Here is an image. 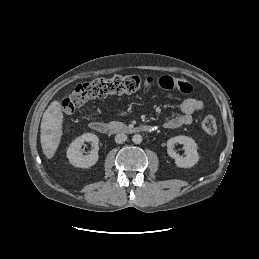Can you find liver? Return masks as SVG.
Returning <instances> with one entry per match:
<instances>
[{
    "label": "liver",
    "instance_id": "6515ba94",
    "mask_svg": "<svg viewBox=\"0 0 259 259\" xmlns=\"http://www.w3.org/2000/svg\"><path fill=\"white\" fill-rule=\"evenodd\" d=\"M63 119L60 102L58 100L52 101L43 114L40 126V142L47 159H51L59 147Z\"/></svg>",
    "mask_w": 259,
    "mask_h": 259
}]
</instances>
